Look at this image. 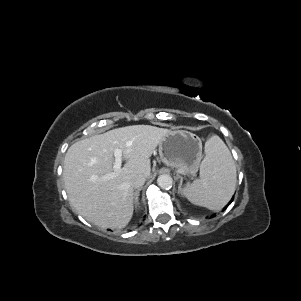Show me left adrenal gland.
Returning a JSON list of instances; mask_svg holds the SVG:
<instances>
[{"mask_svg":"<svg viewBox=\"0 0 301 301\" xmlns=\"http://www.w3.org/2000/svg\"><path fill=\"white\" fill-rule=\"evenodd\" d=\"M182 182H183V178L182 177H180V183H179V186H178V193L179 194H182Z\"/></svg>","mask_w":301,"mask_h":301,"instance_id":"obj_1","label":"left adrenal gland"}]
</instances>
